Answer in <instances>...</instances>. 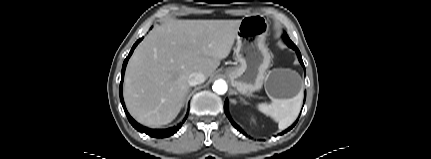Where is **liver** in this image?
Instances as JSON below:
<instances>
[{
	"label": "liver",
	"instance_id": "1",
	"mask_svg": "<svg viewBox=\"0 0 431 159\" xmlns=\"http://www.w3.org/2000/svg\"><path fill=\"white\" fill-rule=\"evenodd\" d=\"M240 23L171 19L151 30L126 68L123 95L131 116L149 127L172 122L188 93L189 75L214 73L229 55Z\"/></svg>",
	"mask_w": 431,
	"mask_h": 159
}]
</instances>
